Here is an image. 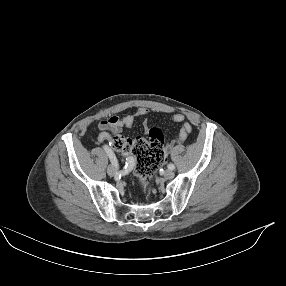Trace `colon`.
Here are the masks:
<instances>
[{
	"instance_id": "5ec220e1",
	"label": "colon",
	"mask_w": 286,
	"mask_h": 286,
	"mask_svg": "<svg viewBox=\"0 0 286 286\" xmlns=\"http://www.w3.org/2000/svg\"><path fill=\"white\" fill-rule=\"evenodd\" d=\"M109 142L116 152L131 154L136 158V173L140 186L146 190L153 173L165 159L162 130L153 127L149 130L148 136H137L134 139L113 135Z\"/></svg>"
}]
</instances>
